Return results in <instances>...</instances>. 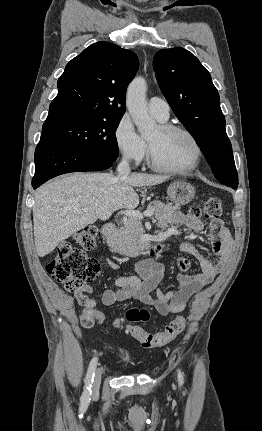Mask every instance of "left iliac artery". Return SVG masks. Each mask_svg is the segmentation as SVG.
I'll list each match as a JSON object with an SVG mask.
<instances>
[{
    "label": "left iliac artery",
    "instance_id": "1",
    "mask_svg": "<svg viewBox=\"0 0 262 431\" xmlns=\"http://www.w3.org/2000/svg\"><path fill=\"white\" fill-rule=\"evenodd\" d=\"M178 380H179L180 384L183 383V375H182L181 371H178Z\"/></svg>",
    "mask_w": 262,
    "mask_h": 431
}]
</instances>
